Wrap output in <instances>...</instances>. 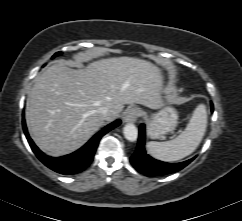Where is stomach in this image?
<instances>
[{
  "label": "stomach",
  "mask_w": 242,
  "mask_h": 221,
  "mask_svg": "<svg viewBox=\"0 0 242 221\" xmlns=\"http://www.w3.org/2000/svg\"><path fill=\"white\" fill-rule=\"evenodd\" d=\"M178 123V113L172 107H164L148 118V136L152 139L161 138L175 129Z\"/></svg>",
  "instance_id": "obj_1"
}]
</instances>
